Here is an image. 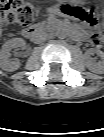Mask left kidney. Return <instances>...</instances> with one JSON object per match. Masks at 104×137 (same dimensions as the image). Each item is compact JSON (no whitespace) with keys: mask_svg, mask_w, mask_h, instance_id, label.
<instances>
[{"mask_svg":"<svg viewBox=\"0 0 104 137\" xmlns=\"http://www.w3.org/2000/svg\"><path fill=\"white\" fill-rule=\"evenodd\" d=\"M91 52H93L92 49L88 52V54H90ZM94 52H97L101 57H103L102 51H94ZM87 66L91 71L96 72V73H101L104 69L103 61L93 63L89 58H88Z\"/></svg>","mask_w":104,"mask_h":137,"instance_id":"5707ae66","label":"left kidney"}]
</instances>
